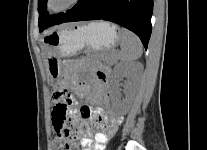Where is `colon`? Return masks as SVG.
Segmentation results:
<instances>
[{"instance_id":"colon-1","label":"colon","mask_w":207,"mask_h":150,"mask_svg":"<svg viewBox=\"0 0 207 150\" xmlns=\"http://www.w3.org/2000/svg\"><path fill=\"white\" fill-rule=\"evenodd\" d=\"M53 98V114L49 118V121L54 123L53 150H79L80 133L72 132L70 129L71 111H73L70 87H59V90L53 94Z\"/></svg>"}]
</instances>
